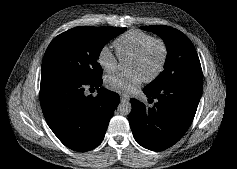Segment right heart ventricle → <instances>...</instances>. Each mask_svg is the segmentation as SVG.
<instances>
[{
	"label": "right heart ventricle",
	"mask_w": 237,
	"mask_h": 169,
	"mask_svg": "<svg viewBox=\"0 0 237 169\" xmlns=\"http://www.w3.org/2000/svg\"><path fill=\"white\" fill-rule=\"evenodd\" d=\"M153 38L151 34L138 30L126 32L114 40L118 57L122 60L129 58Z\"/></svg>",
	"instance_id": "1"
}]
</instances>
